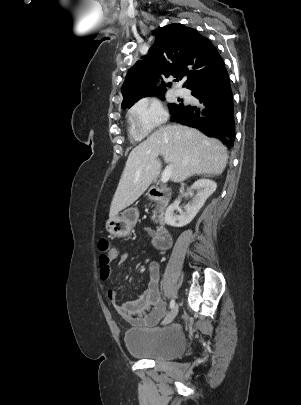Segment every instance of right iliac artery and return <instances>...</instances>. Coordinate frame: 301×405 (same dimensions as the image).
<instances>
[{
  "mask_svg": "<svg viewBox=\"0 0 301 405\" xmlns=\"http://www.w3.org/2000/svg\"><path fill=\"white\" fill-rule=\"evenodd\" d=\"M174 305H175V302H174V300L172 299V300L170 301V308L173 309V308H174Z\"/></svg>",
  "mask_w": 301,
  "mask_h": 405,
  "instance_id": "obj_1",
  "label": "right iliac artery"
}]
</instances>
